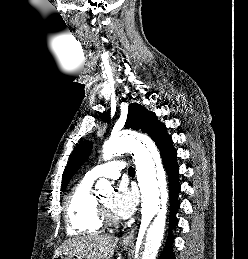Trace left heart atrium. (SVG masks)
<instances>
[{"label": "left heart atrium", "mask_w": 248, "mask_h": 259, "mask_svg": "<svg viewBox=\"0 0 248 259\" xmlns=\"http://www.w3.org/2000/svg\"><path fill=\"white\" fill-rule=\"evenodd\" d=\"M137 195L125 184H120L112 198L111 209L114 214L121 218H129L135 211Z\"/></svg>", "instance_id": "left-heart-atrium-1"}]
</instances>
